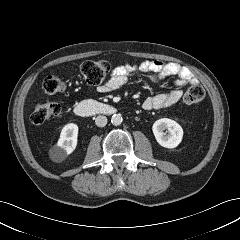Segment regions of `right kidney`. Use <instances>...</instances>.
Listing matches in <instances>:
<instances>
[{"mask_svg":"<svg viewBox=\"0 0 240 240\" xmlns=\"http://www.w3.org/2000/svg\"><path fill=\"white\" fill-rule=\"evenodd\" d=\"M78 126L74 123L65 125L54 148L56 155L65 157L71 154L77 146Z\"/></svg>","mask_w":240,"mask_h":240,"instance_id":"obj_1","label":"right kidney"}]
</instances>
